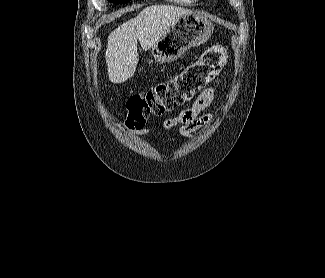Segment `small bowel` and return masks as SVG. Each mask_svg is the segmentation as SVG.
I'll list each match as a JSON object with an SVG mask.
<instances>
[{
    "label": "small bowel",
    "mask_w": 325,
    "mask_h": 278,
    "mask_svg": "<svg viewBox=\"0 0 325 278\" xmlns=\"http://www.w3.org/2000/svg\"><path fill=\"white\" fill-rule=\"evenodd\" d=\"M217 95L218 93L214 88H206L199 94L190 108L181 111L176 117L166 120L164 128L178 127L182 135L191 136L193 132L203 127L212 119V113L209 112L203 115L201 113L211 106ZM149 133V129L133 132V134L140 135H147Z\"/></svg>",
    "instance_id": "obj_1"
}]
</instances>
